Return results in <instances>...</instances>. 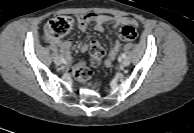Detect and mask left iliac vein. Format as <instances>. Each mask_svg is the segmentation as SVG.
I'll return each instance as SVG.
<instances>
[{
    "instance_id": "left-iliac-vein-1",
    "label": "left iliac vein",
    "mask_w": 194,
    "mask_h": 133,
    "mask_svg": "<svg viewBox=\"0 0 194 133\" xmlns=\"http://www.w3.org/2000/svg\"><path fill=\"white\" fill-rule=\"evenodd\" d=\"M130 64V60L128 58H125L121 61V65L124 67H127Z\"/></svg>"
}]
</instances>
